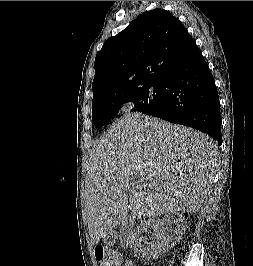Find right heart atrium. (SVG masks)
<instances>
[{"label": "right heart atrium", "instance_id": "d8ad5b80", "mask_svg": "<svg viewBox=\"0 0 253 266\" xmlns=\"http://www.w3.org/2000/svg\"><path fill=\"white\" fill-rule=\"evenodd\" d=\"M134 107V103L132 101H125L121 104L120 110L122 112H127Z\"/></svg>", "mask_w": 253, "mask_h": 266}]
</instances>
